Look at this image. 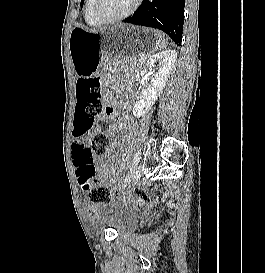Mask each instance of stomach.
I'll return each mask as SVG.
<instances>
[{"instance_id":"1","label":"stomach","mask_w":265,"mask_h":273,"mask_svg":"<svg viewBox=\"0 0 265 273\" xmlns=\"http://www.w3.org/2000/svg\"><path fill=\"white\" fill-rule=\"evenodd\" d=\"M165 41L146 25H110L108 30L76 27L72 30L69 50L78 76H91L115 69V64H136L142 56H155ZM109 49V51H107Z\"/></svg>"}]
</instances>
